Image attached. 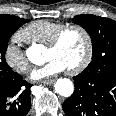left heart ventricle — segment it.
I'll use <instances>...</instances> for the list:
<instances>
[{"label": "left heart ventricle", "mask_w": 116, "mask_h": 116, "mask_svg": "<svg viewBox=\"0 0 116 116\" xmlns=\"http://www.w3.org/2000/svg\"><path fill=\"white\" fill-rule=\"evenodd\" d=\"M85 50L86 43L83 34L78 30L71 29L63 35L58 47L45 49L44 59L56 58L66 66V69H69L82 60Z\"/></svg>", "instance_id": "1"}]
</instances>
